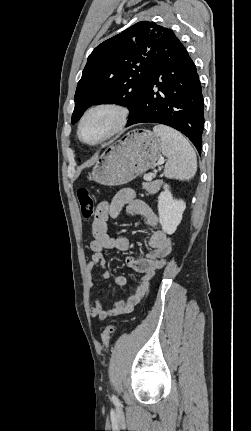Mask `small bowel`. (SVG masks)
<instances>
[{
    "instance_id": "obj_1",
    "label": "small bowel",
    "mask_w": 251,
    "mask_h": 431,
    "mask_svg": "<svg viewBox=\"0 0 251 431\" xmlns=\"http://www.w3.org/2000/svg\"><path fill=\"white\" fill-rule=\"evenodd\" d=\"M124 211L129 215L142 216L146 223L154 228L148 239L151 252L143 258L128 257L126 260L128 266L140 273L130 295L106 308L98 299L93 300L90 308L91 316L100 320L132 311L148 290L149 281L154 277L155 272L166 264L172 251V239L161 229L158 217L153 210L143 200L136 197L133 190L122 189L111 201L101 202L96 209L92 223L93 240L90 242L92 256L87 264L90 290L93 288L92 273L97 268L102 269V278H110V273L105 269L103 250L127 251L129 249V240L126 237L112 236L108 233V220L119 217ZM113 281L118 286L127 285V280L122 275L114 276Z\"/></svg>"
}]
</instances>
